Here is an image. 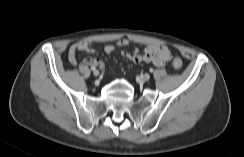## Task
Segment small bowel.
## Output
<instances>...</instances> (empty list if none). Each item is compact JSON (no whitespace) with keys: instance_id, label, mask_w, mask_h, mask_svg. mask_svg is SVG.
<instances>
[{"instance_id":"obj_1","label":"small bowel","mask_w":244,"mask_h":157,"mask_svg":"<svg viewBox=\"0 0 244 157\" xmlns=\"http://www.w3.org/2000/svg\"><path fill=\"white\" fill-rule=\"evenodd\" d=\"M130 41L126 38L119 39L115 44H108L104 47V51L108 54L113 53L117 48L129 45ZM80 51L92 53L94 48L89 41H78L74 43L69 51V61L72 64L77 63V53ZM121 55L135 63L146 62L161 67L172 59L170 49L165 45L149 44L144 47V53H140V49L135 47L133 52L122 51ZM84 63L89 66H99L104 68V63L97 57H87Z\"/></svg>"}]
</instances>
